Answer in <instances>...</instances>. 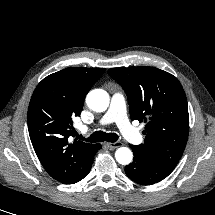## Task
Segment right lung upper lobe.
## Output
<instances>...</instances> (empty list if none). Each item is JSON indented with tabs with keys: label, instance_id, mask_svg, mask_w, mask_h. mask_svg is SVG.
I'll use <instances>...</instances> for the list:
<instances>
[{
	"label": "right lung upper lobe",
	"instance_id": "right-lung-upper-lobe-1",
	"mask_svg": "<svg viewBox=\"0 0 215 215\" xmlns=\"http://www.w3.org/2000/svg\"><path fill=\"white\" fill-rule=\"evenodd\" d=\"M104 72L81 67L55 72L38 84L30 100L27 120L34 150L48 174L62 183L80 181L93 161L96 144L71 142L72 119Z\"/></svg>",
	"mask_w": 215,
	"mask_h": 215
}]
</instances>
